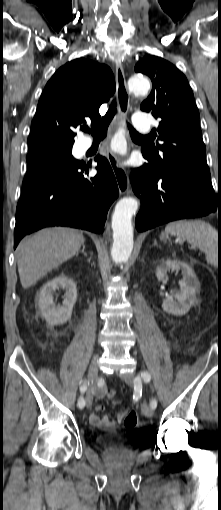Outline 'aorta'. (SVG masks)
Segmentation results:
<instances>
[{
  "label": "aorta",
  "instance_id": "aorta-1",
  "mask_svg": "<svg viewBox=\"0 0 221 510\" xmlns=\"http://www.w3.org/2000/svg\"><path fill=\"white\" fill-rule=\"evenodd\" d=\"M128 86L135 94L147 93L150 83L145 76L134 75L130 77ZM111 147L114 152L126 153V138L124 129L120 128L112 139ZM138 209V202L133 197L120 199L112 215L113 245L111 256L116 263H125L130 258L133 250V226L132 216Z\"/></svg>",
  "mask_w": 221,
  "mask_h": 510
}]
</instances>
